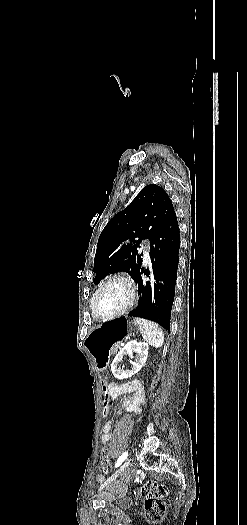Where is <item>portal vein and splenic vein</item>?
<instances>
[{
  "label": "portal vein and splenic vein",
  "mask_w": 247,
  "mask_h": 525,
  "mask_svg": "<svg viewBox=\"0 0 247 525\" xmlns=\"http://www.w3.org/2000/svg\"><path fill=\"white\" fill-rule=\"evenodd\" d=\"M120 346H125V343H120Z\"/></svg>",
  "instance_id": "18ae733b"
}]
</instances>
